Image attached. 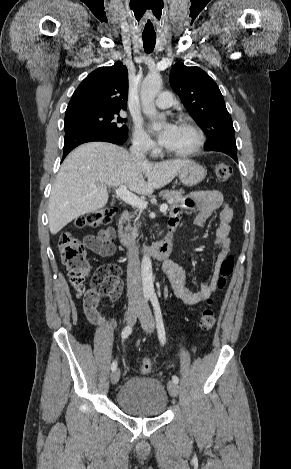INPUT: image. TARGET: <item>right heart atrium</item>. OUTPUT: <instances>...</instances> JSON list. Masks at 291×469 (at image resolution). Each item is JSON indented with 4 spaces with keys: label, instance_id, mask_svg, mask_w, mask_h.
Masks as SVG:
<instances>
[{
    "label": "right heart atrium",
    "instance_id": "d8ad5b80",
    "mask_svg": "<svg viewBox=\"0 0 291 469\" xmlns=\"http://www.w3.org/2000/svg\"><path fill=\"white\" fill-rule=\"evenodd\" d=\"M132 144L137 150L142 152H150L155 149L154 141L139 123L135 124L133 128Z\"/></svg>",
    "mask_w": 291,
    "mask_h": 469
}]
</instances>
